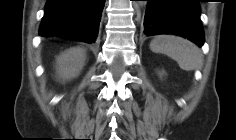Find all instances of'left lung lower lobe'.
<instances>
[{
    "instance_id": "left-lung-lower-lobe-1",
    "label": "left lung lower lobe",
    "mask_w": 236,
    "mask_h": 140,
    "mask_svg": "<svg viewBox=\"0 0 236 140\" xmlns=\"http://www.w3.org/2000/svg\"><path fill=\"white\" fill-rule=\"evenodd\" d=\"M200 0H148L144 17L147 36L174 34L187 37L199 47L204 43Z\"/></svg>"
}]
</instances>
